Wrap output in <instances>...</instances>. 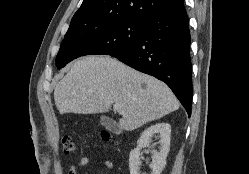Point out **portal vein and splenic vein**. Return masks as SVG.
I'll return each instance as SVG.
<instances>
[{"label":"portal vein and splenic vein","instance_id":"18ae733b","mask_svg":"<svg viewBox=\"0 0 249 174\" xmlns=\"http://www.w3.org/2000/svg\"><path fill=\"white\" fill-rule=\"evenodd\" d=\"M114 110L117 111L120 114H124V111H122L121 106L119 104H114L113 106Z\"/></svg>","mask_w":249,"mask_h":174}]
</instances>
